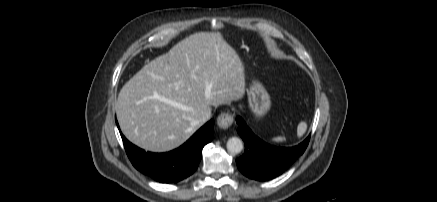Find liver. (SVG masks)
Wrapping results in <instances>:
<instances>
[{
  "mask_svg": "<svg viewBox=\"0 0 437 202\" xmlns=\"http://www.w3.org/2000/svg\"><path fill=\"white\" fill-rule=\"evenodd\" d=\"M245 68L219 33L199 32L141 68L120 90L116 114L133 144L152 152L182 145L211 106L241 99Z\"/></svg>",
  "mask_w": 437,
  "mask_h": 202,
  "instance_id": "1",
  "label": "liver"
}]
</instances>
